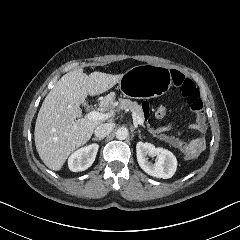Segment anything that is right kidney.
<instances>
[{
	"label": "right kidney",
	"mask_w": 240,
	"mask_h": 240,
	"mask_svg": "<svg viewBox=\"0 0 240 240\" xmlns=\"http://www.w3.org/2000/svg\"><path fill=\"white\" fill-rule=\"evenodd\" d=\"M98 149V144H91L75 151L68 159L69 169L72 172L88 169L95 161Z\"/></svg>",
	"instance_id": "1"
}]
</instances>
